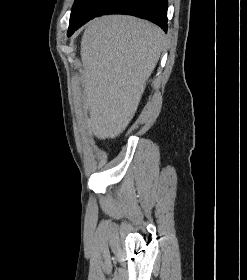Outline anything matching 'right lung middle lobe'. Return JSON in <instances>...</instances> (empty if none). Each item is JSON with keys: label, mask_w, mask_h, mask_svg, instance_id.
I'll list each match as a JSON object with an SVG mask.
<instances>
[{"label": "right lung middle lobe", "mask_w": 247, "mask_h": 280, "mask_svg": "<svg viewBox=\"0 0 247 280\" xmlns=\"http://www.w3.org/2000/svg\"><path fill=\"white\" fill-rule=\"evenodd\" d=\"M108 0H75L69 28L86 23L99 12Z\"/></svg>", "instance_id": "1"}]
</instances>
